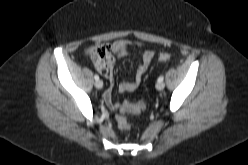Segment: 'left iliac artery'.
Listing matches in <instances>:
<instances>
[{"instance_id": "1", "label": "left iliac artery", "mask_w": 248, "mask_h": 165, "mask_svg": "<svg viewBox=\"0 0 248 165\" xmlns=\"http://www.w3.org/2000/svg\"><path fill=\"white\" fill-rule=\"evenodd\" d=\"M163 80H164V76L161 75V76L158 78V82L163 81Z\"/></svg>"}]
</instances>
